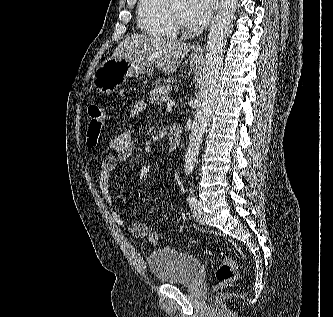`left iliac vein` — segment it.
Wrapping results in <instances>:
<instances>
[{
    "mask_svg": "<svg viewBox=\"0 0 333 317\" xmlns=\"http://www.w3.org/2000/svg\"><path fill=\"white\" fill-rule=\"evenodd\" d=\"M193 217L196 222H198L200 224L205 223V217H204L203 210H202V203L199 201H198L197 207L193 209Z\"/></svg>",
    "mask_w": 333,
    "mask_h": 317,
    "instance_id": "1",
    "label": "left iliac vein"
}]
</instances>
